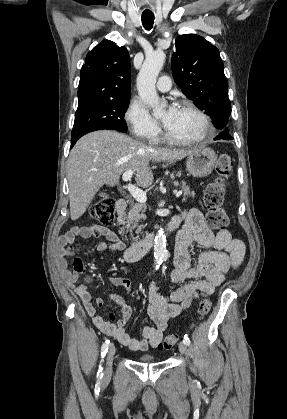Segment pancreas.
I'll list each match as a JSON object with an SVG mask.
<instances>
[{
    "label": "pancreas",
    "mask_w": 287,
    "mask_h": 419,
    "mask_svg": "<svg viewBox=\"0 0 287 419\" xmlns=\"http://www.w3.org/2000/svg\"><path fill=\"white\" fill-rule=\"evenodd\" d=\"M181 189L183 191V201L186 200L188 197H193L195 195L194 191L187 185L186 182L181 184ZM146 206L139 202H132L130 209L128 210L127 214H123L120 217V224L124 227L121 228V233L124 232H132V230H136V233H140L143 229V225H140L142 220H145ZM133 240L138 239L137 237H132Z\"/></svg>",
    "instance_id": "obj_1"
}]
</instances>
